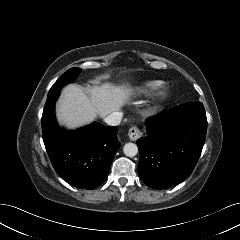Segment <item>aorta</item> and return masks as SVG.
Returning a JSON list of instances; mask_svg holds the SVG:
<instances>
[{
	"label": "aorta",
	"mask_w": 240,
	"mask_h": 240,
	"mask_svg": "<svg viewBox=\"0 0 240 240\" xmlns=\"http://www.w3.org/2000/svg\"><path fill=\"white\" fill-rule=\"evenodd\" d=\"M123 152L127 157H134L138 153V147L135 143H126L123 147Z\"/></svg>",
	"instance_id": "obj_1"
}]
</instances>
